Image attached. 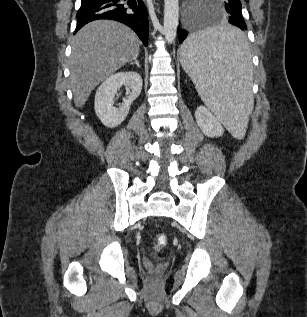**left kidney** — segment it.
I'll return each instance as SVG.
<instances>
[{"label": "left kidney", "mask_w": 307, "mask_h": 317, "mask_svg": "<svg viewBox=\"0 0 307 317\" xmlns=\"http://www.w3.org/2000/svg\"><path fill=\"white\" fill-rule=\"evenodd\" d=\"M195 119L201 131L208 137H220L224 129L216 117L204 106L195 111Z\"/></svg>", "instance_id": "5707ae66"}]
</instances>
